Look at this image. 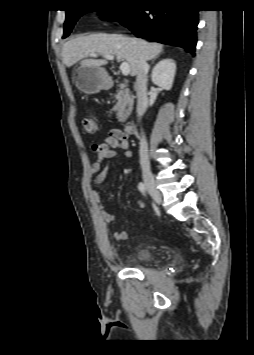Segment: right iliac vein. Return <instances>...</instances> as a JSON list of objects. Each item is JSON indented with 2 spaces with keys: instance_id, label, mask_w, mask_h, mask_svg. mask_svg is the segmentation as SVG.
<instances>
[{
  "instance_id": "right-iliac-vein-1",
  "label": "right iliac vein",
  "mask_w": 254,
  "mask_h": 355,
  "mask_svg": "<svg viewBox=\"0 0 254 355\" xmlns=\"http://www.w3.org/2000/svg\"><path fill=\"white\" fill-rule=\"evenodd\" d=\"M143 179L146 185L147 190L149 191L150 195L152 196V198L157 202L160 203L161 202V193L157 188L155 179L153 178V175L151 173L150 170L145 169L143 171Z\"/></svg>"
}]
</instances>
